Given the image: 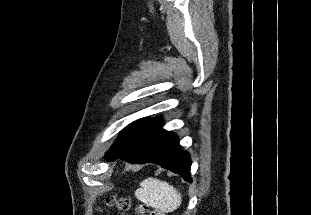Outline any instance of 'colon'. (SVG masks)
<instances>
[{
	"mask_svg": "<svg viewBox=\"0 0 311 215\" xmlns=\"http://www.w3.org/2000/svg\"><path fill=\"white\" fill-rule=\"evenodd\" d=\"M106 205L109 208L115 207L125 214L131 209V202L127 197L116 198L109 196L106 198ZM135 215H165L157 209L150 210L147 206L140 205L135 209Z\"/></svg>",
	"mask_w": 311,
	"mask_h": 215,
	"instance_id": "1",
	"label": "colon"
}]
</instances>
